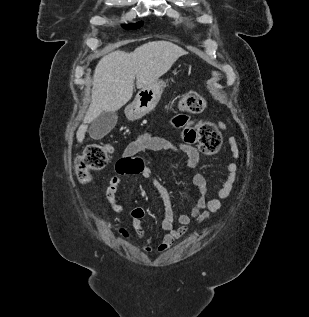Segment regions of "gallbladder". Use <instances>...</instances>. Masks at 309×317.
Listing matches in <instances>:
<instances>
[{
	"label": "gallbladder",
	"instance_id": "obj_1",
	"mask_svg": "<svg viewBox=\"0 0 309 317\" xmlns=\"http://www.w3.org/2000/svg\"><path fill=\"white\" fill-rule=\"evenodd\" d=\"M118 116L115 112H102L91 123L89 135L92 139L99 140L108 134L116 125Z\"/></svg>",
	"mask_w": 309,
	"mask_h": 317
}]
</instances>
